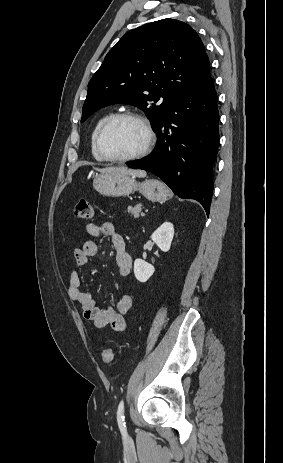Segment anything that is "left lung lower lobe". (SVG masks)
Here are the masks:
<instances>
[{
	"instance_id": "left-lung-lower-lobe-1",
	"label": "left lung lower lobe",
	"mask_w": 283,
	"mask_h": 463,
	"mask_svg": "<svg viewBox=\"0 0 283 463\" xmlns=\"http://www.w3.org/2000/svg\"><path fill=\"white\" fill-rule=\"evenodd\" d=\"M155 132L156 151L128 166L160 177L180 198L200 202L208 215L219 144L217 94L210 74L171 106Z\"/></svg>"
}]
</instances>
